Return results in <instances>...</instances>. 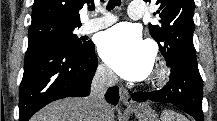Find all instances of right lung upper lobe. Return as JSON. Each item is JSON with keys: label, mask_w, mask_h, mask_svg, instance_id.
Listing matches in <instances>:
<instances>
[{"label": "right lung upper lobe", "mask_w": 217, "mask_h": 121, "mask_svg": "<svg viewBox=\"0 0 217 121\" xmlns=\"http://www.w3.org/2000/svg\"><path fill=\"white\" fill-rule=\"evenodd\" d=\"M89 0H34L32 22L44 19H56L81 24L79 10Z\"/></svg>", "instance_id": "right-lung-upper-lobe-1"}]
</instances>
